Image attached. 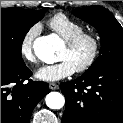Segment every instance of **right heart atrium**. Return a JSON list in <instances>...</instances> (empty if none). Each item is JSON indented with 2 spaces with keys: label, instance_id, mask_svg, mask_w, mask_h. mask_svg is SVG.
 <instances>
[{
  "label": "right heart atrium",
  "instance_id": "d8ad5b80",
  "mask_svg": "<svg viewBox=\"0 0 123 123\" xmlns=\"http://www.w3.org/2000/svg\"><path fill=\"white\" fill-rule=\"evenodd\" d=\"M40 27L38 24L30 26L24 33L21 42L19 51L24 60L30 63L35 62V55L33 53V42L37 35L39 34Z\"/></svg>",
  "mask_w": 123,
  "mask_h": 123
}]
</instances>
